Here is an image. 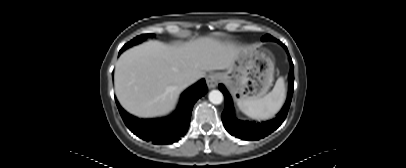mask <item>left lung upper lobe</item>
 <instances>
[{
	"mask_svg": "<svg viewBox=\"0 0 406 168\" xmlns=\"http://www.w3.org/2000/svg\"><path fill=\"white\" fill-rule=\"evenodd\" d=\"M267 40H272V41L281 43L279 40L275 39V38L272 37L271 35H265V36L262 38V41H267Z\"/></svg>",
	"mask_w": 406,
	"mask_h": 168,
	"instance_id": "1",
	"label": "left lung upper lobe"
}]
</instances>
